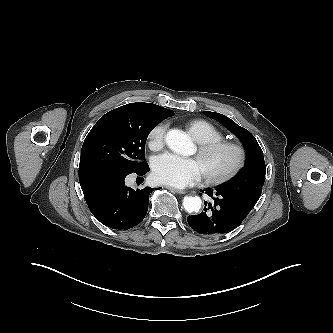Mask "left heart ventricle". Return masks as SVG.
Instances as JSON below:
<instances>
[{"label": "left heart ventricle", "mask_w": 333, "mask_h": 333, "mask_svg": "<svg viewBox=\"0 0 333 333\" xmlns=\"http://www.w3.org/2000/svg\"><path fill=\"white\" fill-rule=\"evenodd\" d=\"M202 172L219 174L224 172L232 164L234 160V153L229 150L219 151L212 156L200 160L198 159Z\"/></svg>", "instance_id": "obj_1"}]
</instances>
